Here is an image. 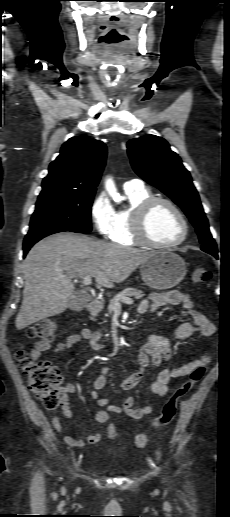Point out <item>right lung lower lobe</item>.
<instances>
[{"mask_svg": "<svg viewBox=\"0 0 230 517\" xmlns=\"http://www.w3.org/2000/svg\"><path fill=\"white\" fill-rule=\"evenodd\" d=\"M64 231L84 233L82 231H75V230H71V229H67V228H56V229H53V230H48V231H44V232H40V233L27 234L25 239H24V243H23V250H24L23 257H25L27 252L30 250V248L36 242L41 240L42 238H44V237H46L48 235L54 234V233L64 232Z\"/></svg>", "mask_w": 230, "mask_h": 517, "instance_id": "98d812e1", "label": "right lung lower lobe"}]
</instances>
